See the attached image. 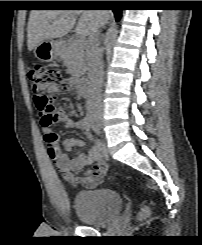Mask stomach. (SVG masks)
<instances>
[{
    "mask_svg": "<svg viewBox=\"0 0 202 245\" xmlns=\"http://www.w3.org/2000/svg\"><path fill=\"white\" fill-rule=\"evenodd\" d=\"M60 48L58 41L45 39L34 48V55L40 61L51 62L60 55Z\"/></svg>",
    "mask_w": 202,
    "mask_h": 245,
    "instance_id": "stomach-1",
    "label": "stomach"
}]
</instances>
